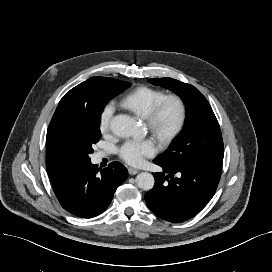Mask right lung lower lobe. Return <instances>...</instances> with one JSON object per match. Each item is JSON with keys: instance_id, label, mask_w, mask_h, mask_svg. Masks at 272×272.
Instances as JSON below:
<instances>
[{"instance_id": "1", "label": "right lung lower lobe", "mask_w": 272, "mask_h": 272, "mask_svg": "<svg viewBox=\"0 0 272 272\" xmlns=\"http://www.w3.org/2000/svg\"><path fill=\"white\" fill-rule=\"evenodd\" d=\"M127 176L126 168L119 162L101 170L86 161L75 163L68 172L51 181L65 210L78 217L92 218L105 211Z\"/></svg>"}]
</instances>
